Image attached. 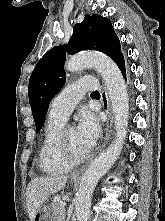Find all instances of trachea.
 Returning <instances> with one entry per match:
<instances>
[{"label":"trachea","mask_w":165,"mask_h":221,"mask_svg":"<svg viewBox=\"0 0 165 221\" xmlns=\"http://www.w3.org/2000/svg\"><path fill=\"white\" fill-rule=\"evenodd\" d=\"M92 94L93 95H99V92L98 91H94Z\"/></svg>","instance_id":"obj_1"}]
</instances>
